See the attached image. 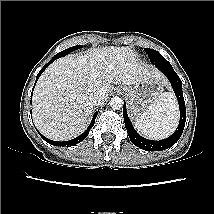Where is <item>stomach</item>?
Masks as SVG:
<instances>
[{
  "label": "stomach",
  "instance_id": "stomach-1",
  "mask_svg": "<svg viewBox=\"0 0 214 214\" xmlns=\"http://www.w3.org/2000/svg\"><path fill=\"white\" fill-rule=\"evenodd\" d=\"M163 81L149 79L135 85L123 87L128 97L129 110L133 116H138L146 111L163 92Z\"/></svg>",
  "mask_w": 214,
  "mask_h": 214
}]
</instances>
